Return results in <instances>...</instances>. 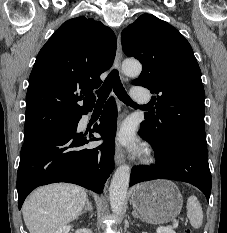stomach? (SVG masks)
<instances>
[{
    "mask_svg": "<svg viewBox=\"0 0 227 233\" xmlns=\"http://www.w3.org/2000/svg\"><path fill=\"white\" fill-rule=\"evenodd\" d=\"M132 203L142 220L151 224H163L180 214L183 199L174 183L157 180L134 187Z\"/></svg>",
    "mask_w": 227,
    "mask_h": 233,
    "instance_id": "1",
    "label": "stomach"
}]
</instances>
